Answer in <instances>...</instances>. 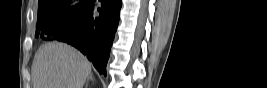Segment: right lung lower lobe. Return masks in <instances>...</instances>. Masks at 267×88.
Here are the masks:
<instances>
[{
	"instance_id": "1",
	"label": "right lung lower lobe",
	"mask_w": 267,
	"mask_h": 88,
	"mask_svg": "<svg viewBox=\"0 0 267 88\" xmlns=\"http://www.w3.org/2000/svg\"><path fill=\"white\" fill-rule=\"evenodd\" d=\"M99 16L93 14L91 2L86 11L70 26L57 31L51 38L78 48L106 76V65L119 23L122 0H103Z\"/></svg>"
}]
</instances>
